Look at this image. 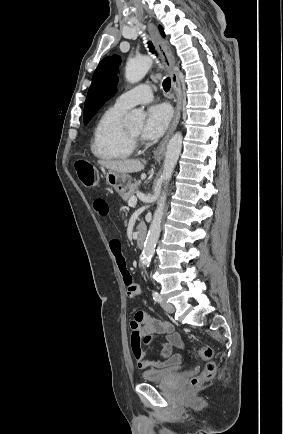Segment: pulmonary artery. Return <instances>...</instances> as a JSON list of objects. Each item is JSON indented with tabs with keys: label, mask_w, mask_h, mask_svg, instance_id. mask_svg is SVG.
I'll list each match as a JSON object with an SVG mask.
<instances>
[{
	"label": "pulmonary artery",
	"mask_w": 283,
	"mask_h": 434,
	"mask_svg": "<svg viewBox=\"0 0 283 434\" xmlns=\"http://www.w3.org/2000/svg\"><path fill=\"white\" fill-rule=\"evenodd\" d=\"M152 98V88L148 84H140L122 93L116 99L115 106L128 110L137 104L148 103Z\"/></svg>",
	"instance_id": "pulmonary-artery-1"
}]
</instances>
